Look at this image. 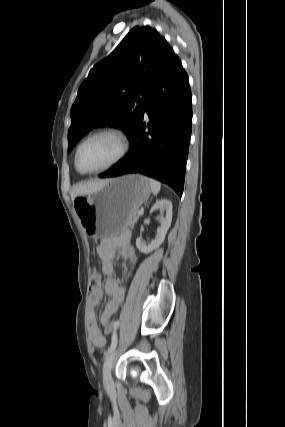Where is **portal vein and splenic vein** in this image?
Here are the masks:
<instances>
[{
	"instance_id": "obj_1",
	"label": "portal vein and splenic vein",
	"mask_w": 285,
	"mask_h": 427,
	"mask_svg": "<svg viewBox=\"0 0 285 427\" xmlns=\"http://www.w3.org/2000/svg\"><path fill=\"white\" fill-rule=\"evenodd\" d=\"M143 212H144L143 210H139V211H138V214H139V215H142V214H143Z\"/></svg>"
}]
</instances>
